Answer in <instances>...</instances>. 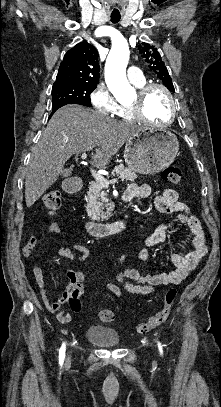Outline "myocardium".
Masks as SVG:
<instances>
[{
    "label": "myocardium",
    "instance_id": "1",
    "mask_svg": "<svg viewBox=\"0 0 221 407\" xmlns=\"http://www.w3.org/2000/svg\"><path fill=\"white\" fill-rule=\"evenodd\" d=\"M154 89L162 90L165 93V95L167 96L169 103H170V109H171L170 117L165 123L157 124V123L151 121L150 119L147 118V116L145 115V112H144V104L147 99V96ZM130 109L136 120H138L142 123H145L147 125L157 126V127H161V128H166V127L170 126L174 122L175 117H176V112H177L176 102L174 100L172 93L166 86H164L160 83H150V84H145L144 86L140 87L137 92L136 99L130 105Z\"/></svg>",
    "mask_w": 221,
    "mask_h": 407
}]
</instances>
